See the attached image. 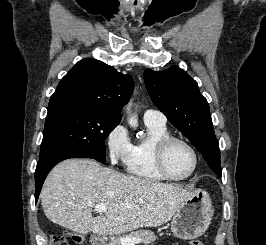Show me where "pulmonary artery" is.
Returning <instances> with one entry per match:
<instances>
[{"mask_svg": "<svg viewBox=\"0 0 266 245\" xmlns=\"http://www.w3.org/2000/svg\"><path fill=\"white\" fill-rule=\"evenodd\" d=\"M144 122H159L166 124L167 118L166 116L156 109H147L143 113Z\"/></svg>", "mask_w": 266, "mask_h": 245, "instance_id": "e3ab8cb5", "label": "pulmonary artery"}]
</instances>
